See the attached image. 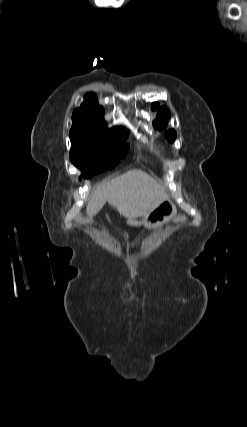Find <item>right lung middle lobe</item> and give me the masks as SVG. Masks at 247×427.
<instances>
[{
  "label": "right lung middle lobe",
  "instance_id": "1",
  "mask_svg": "<svg viewBox=\"0 0 247 427\" xmlns=\"http://www.w3.org/2000/svg\"><path fill=\"white\" fill-rule=\"evenodd\" d=\"M125 129H102L72 124L70 130L72 163L89 178L92 174L114 168L128 152Z\"/></svg>",
  "mask_w": 247,
  "mask_h": 427
}]
</instances>
